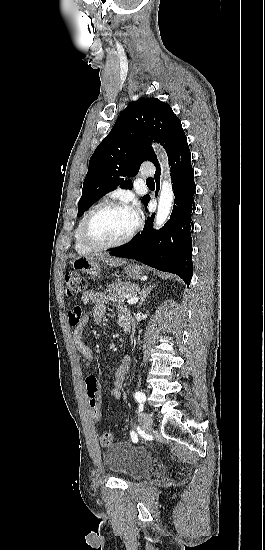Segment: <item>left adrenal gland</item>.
<instances>
[{
	"instance_id": "left-adrenal-gland-1",
	"label": "left adrenal gland",
	"mask_w": 265,
	"mask_h": 550,
	"mask_svg": "<svg viewBox=\"0 0 265 550\" xmlns=\"http://www.w3.org/2000/svg\"><path fill=\"white\" fill-rule=\"evenodd\" d=\"M148 284H150V282ZM153 288H154V285H149L148 287H147V285H144V287L142 288V291L140 293V302H139L138 307H141V305L145 302L146 298L151 293Z\"/></svg>"
}]
</instances>
